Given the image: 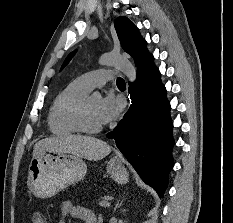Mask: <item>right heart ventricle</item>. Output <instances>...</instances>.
<instances>
[{"label": "right heart ventricle", "instance_id": "e07e8e85", "mask_svg": "<svg viewBox=\"0 0 233 223\" xmlns=\"http://www.w3.org/2000/svg\"><path fill=\"white\" fill-rule=\"evenodd\" d=\"M89 91L78 80L67 84L56 96L48 115V128L56 136L77 135L75 112Z\"/></svg>", "mask_w": 233, "mask_h": 223}]
</instances>
